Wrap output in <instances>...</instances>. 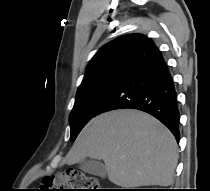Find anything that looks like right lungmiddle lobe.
Instances as JSON below:
<instances>
[{
  "mask_svg": "<svg viewBox=\"0 0 210 191\" xmlns=\"http://www.w3.org/2000/svg\"><path fill=\"white\" fill-rule=\"evenodd\" d=\"M131 58L118 57L93 70L78 88L70 113L72 141L82 128L97 115L98 108L113 89Z\"/></svg>",
  "mask_w": 210,
  "mask_h": 191,
  "instance_id": "1",
  "label": "right lung middle lobe"
}]
</instances>
